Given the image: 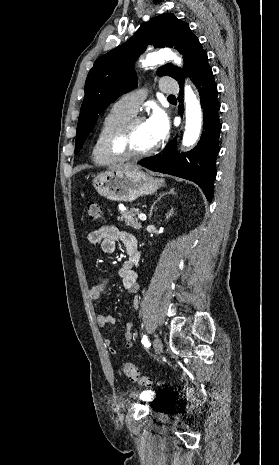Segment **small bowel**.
<instances>
[{
	"mask_svg": "<svg viewBox=\"0 0 279 465\" xmlns=\"http://www.w3.org/2000/svg\"><path fill=\"white\" fill-rule=\"evenodd\" d=\"M90 244H100L101 249L105 253H113L116 250L117 243H122L128 254V259L123 262L117 271V276L121 279L125 290L129 293L136 292L138 290V279L139 274L136 271V267L139 263L140 252L137 247L136 238L114 225H104L94 231H91L87 236ZM108 284V280H103L89 290V296L92 300H99ZM116 319L111 314H100L97 316V323L100 327H106L108 325H114ZM124 347L131 349L133 346V326L131 322H126L124 327ZM105 345L111 354L115 355L117 350L111 346V339H104Z\"/></svg>",
	"mask_w": 279,
	"mask_h": 465,
	"instance_id": "obj_1",
	"label": "small bowel"
}]
</instances>
